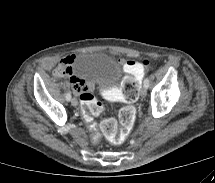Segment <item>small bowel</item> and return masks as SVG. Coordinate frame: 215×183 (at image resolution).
<instances>
[{"label": "small bowel", "instance_id": "c3829d8e", "mask_svg": "<svg viewBox=\"0 0 215 183\" xmlns=\"http://www.w3.org/2000/svg\"><path fill=\"white\" fill-rule=\"evenodd\" d=\"M75 58H76L75 55L65 56L64 58L61 59L57 68L59 66H64V67L68 68V70H69L68 75H71L70 81H71L73 90L77 94H79V96H81L83 93H89V91L92 89L93 86L86 80L73 74L72 64H73ZM121 62L124 64L126 70L129 73H132L139 81L142 80V78L144 76V71H145V66L142 63L133 62V61L125 62L123 60H121ZM57 68L54 70V74L56 76H59L57 74ZM94 90L98 96H101L102 98H105V99H108V98L111 100H121L122 99V97L119 94H114V92H115L114 86L111 83H108L107 81H104V80L98 81L95 84Z\"/></svg>", "mask_w": 215, "mask_h": 183}]
</instances>
